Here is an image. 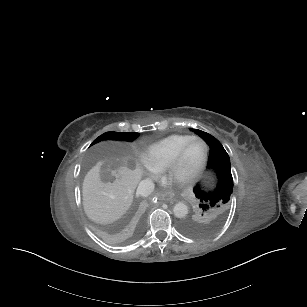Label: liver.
I'll return each instance as SVG.
<instances>
[{
    "label": "liver",
    "mask_w": 307,
    "mask_h": 307,
    "mask_svg": "<svg viewBox=\"0 0 307 307\" xmlns=\"http://www.w3.org/2000/svg\"><path fill=\"white\" fill-rule=\"evenodd\" d=\"M142 175V168L129 156L99 159L83 181V206L87 217L99 224L120 219L131 206Z\"/></svg>",
    "instance_id": "1"
}]
</instances>
